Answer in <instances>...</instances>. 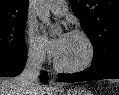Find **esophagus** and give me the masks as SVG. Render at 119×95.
Instances as JSON below:
<instances>
[{
  "label": "esophagus",
  "instance_id": "esophagus-1",
  "mask_svg": "<svg viewBox=\"0 0 119 95\" xmlns=\"http://www.w3.org/2000/svg\"><path fill=\"white\" fill-rule=\"evenodd\" d=\"M49 87L52 89H57L59 88V84L54 79H51L49 81Z\"/></svg>",
  "mask_w": 119,
  "mask_h": 95
}]
</instances>
